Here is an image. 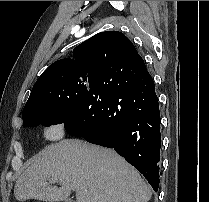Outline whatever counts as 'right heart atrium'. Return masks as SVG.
I'll list each match as a JSON object with an SVG mask.
<instances>
[{"label":"right heart atrium","instance_id":"d8ad5b80","mask_svg":"<svg viewBox=\"0 0 209 202\" xmlns=\"http://www.w3.org/2000/svg\"><path fill=\"white\" fill-rule=\"evenodd\" d=\"M64 135L65 130L61 121L45 122L39 129V137L47 142L59 141Z\"/></svg>","mask_w":209,"mask_h":202}]
</instances>
